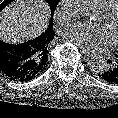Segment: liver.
<instances>
[{
	"label": "liver",
	"mask_w": 118,
	"mask_h": 118,
	"mask_svg": "<svg viewBox=\"0 0 118 118\" xmlns=\"http://www.w3.org/2000/svg\"><path fill=\"white\" fill-rule=\"evenodd\" d=\"M49 18L42 0H16L0 13V39L14 44L33 39L46 30Z\"/></svg>",
	"instance_id": "obj_1"
}]
</instances>
